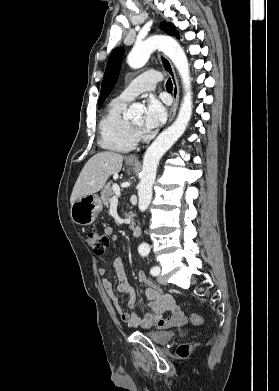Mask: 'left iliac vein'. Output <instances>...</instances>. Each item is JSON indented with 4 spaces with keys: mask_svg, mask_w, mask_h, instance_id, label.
Instances as JSON below:
<instances>
[{
    "mask_svg": "<svg viewBox=\"0 0 279 391\" xmlns=\"http://www.w3.org/2000/svg\"><path fill=\"white\" fill-rule=\"evenodd\" d=\"M157 280H158V282H159L160 284H162V285H165V284H166V279H165L162 275H159V276L157 277Z\"/></svg>",
    "mask_w": 279,
    "mask_h": 391,
    "instance_id": "left-iliac-vein-1",
    "label": "left iliac vein"
}]
</instances>
